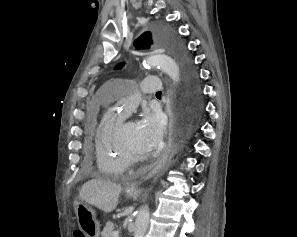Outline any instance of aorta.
I'll use <instances>...</instances> for the list:
<instances>
[{
    "instance_id": "1",
    "label": "aorta",
    "mask_w": 297,
    "mask_h": 237,
    "mask_svg": "<svg viewBox=\"0 0 297 237\" xmlns=\"http://www.w3.org/2000/svg\"><path fill=\"white\" fill-rule=\"evenodd\" d=\"M158 45H168L170 49L174 51L172 42L159 41ZM145 65L149 67H158L164 73H166L174 83L180 81V69L176 61L168 55L156 54L148 57L145 60ZM150 219L149 207L147 205L142 206L136 216L134 237H145Z\"/></svg>"
}]
</instances>
